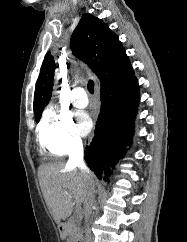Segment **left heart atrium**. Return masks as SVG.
Returning a JSON list of instances; mask_svg holds the SVG:
<instances>
[{
	"instance_id": "39dd6f15",
	"label": "left heart atrium",
	"mask_w": 187,
	"mask_h": 242,
	"mask_svg": "<svg viewBox=\"0 0 187 242\" xmlns=\"http://www.w3.org/2000/svg\"><path fill=\"white\" fill-rule=\"evenodd\" d=\"M77 129L81 135H86L90 132L93 126L91 117L86 112H78L76 114Z\"/></svg>"
}]
</instances>
